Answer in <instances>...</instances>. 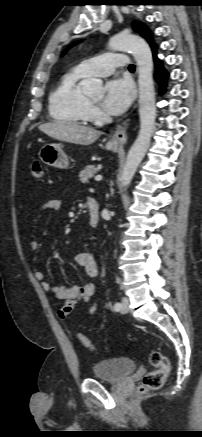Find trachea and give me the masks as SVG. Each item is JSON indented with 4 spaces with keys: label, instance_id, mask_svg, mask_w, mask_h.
<instances>
[{
    "label": "trachea",
    "instance_id": "1",
    "mask_svg": "<svg viewBox=\"0 0 202 437\" xmlns=\"http://www.w3.org/2000/svg\"><path fill=\"white\" fill-rule=\"evenodd\" d=\"M135 69V66L134 65H130L129 66V70H134Z\"/></svg>",
    "mask_w": 202,
    "mask_h": 437
}]
</instances>
